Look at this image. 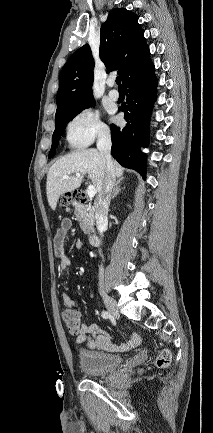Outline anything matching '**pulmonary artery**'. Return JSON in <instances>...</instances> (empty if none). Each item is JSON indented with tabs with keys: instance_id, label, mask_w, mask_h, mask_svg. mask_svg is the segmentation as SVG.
<instances>
[{
	"instance_id": "pulmonary-artery-1",
	"label": "pulmonary artery",
	"mask_w": 213,
	"mask_h": 433,
	"mask_svg": "<svg viewBox=\"0 0 213 433\" xmlns=\"http://www.w3.org/2000/svg\"><path fill=\"white\" fill-rule=\"evenodd\" d=\"M108 86L110 87V90L108 92L109 98L111 100H114V101L118 100L119 93H118V91L116 89L113 88L114 87V80L113 79L109 80Z\"/></svg>"
}]
</instances>
